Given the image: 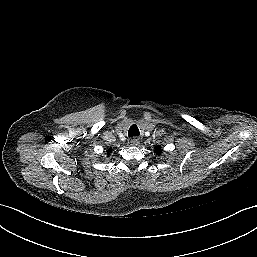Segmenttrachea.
Masks as SVG:
<instances>
[{
  "label": "trachea",
  "mask_w": 257,
  "mask_h": 257,
  "mask_svg": "<svg viewBox=\"0 0 257 257\" xmlns=\"http://www.w3.org/2000/svg\"><path fill=\"white\" fill-rule=\"evenodd\" d=\"M139 134H140V132H139V129L136 125H132L128 130V136L129 137L139 136Z\"/></svg>",
  "instance_id": "3493384b"
}]
</instances>
